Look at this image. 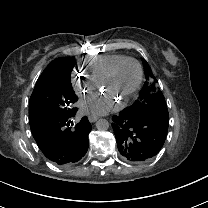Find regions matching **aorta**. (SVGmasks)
Instances as JSON below:
<instances>
[{"label": "aorta", "instance_id": "1", "mask_svg": "<svg viewBox=\"0 0 208 208\" xmlns=\"http://www.w3.org/2000/svg\"><path fill=\"white\" fill-rule=\"evenodd\" d=\"M96 128L101 131H105L109 128V122L106 119H99L96 122Z\"/></svg>", "mask_w": 208, "mask_h": 208}]
</instances>
